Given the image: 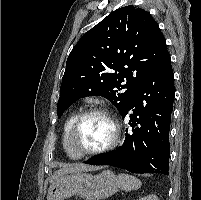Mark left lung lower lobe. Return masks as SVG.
Instances as JSON below:
<instances>
[{"label":"left lung lower lobe","instance_id":"0a47b994","mask_svg":"<svg viewBox=\"0 0 201 200\" xmlns=\"http://www.w3.org/2000/svg\"><path fill=\"white\" fill-rule=\"evenodd\" d=\"M174 96V74L167 51L121 114L125 118L130 110L133 111L129 116V125L133 129L126 133L123 144L84 163L111 165L133 173L169 175V129Z\"/></svg>","mask_w":201,"mask_h":200}]
</instances>
